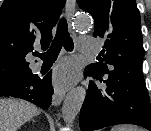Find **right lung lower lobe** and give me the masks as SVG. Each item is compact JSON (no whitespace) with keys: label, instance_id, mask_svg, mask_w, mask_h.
Masks as SVG:
<instances>
[{"label":"right lung lower lobe","instance_id":"1","mask_svg":"<svg viewBox=\"0 0 151 131\" xmlns=\"http://www.w3.org/2000/svg\"><path fill=\"white\" fill-rule=\"evenodd\" d=\"M52 95L51 72L44 78L32 74L4 89H0V96L21 98L36 104L44 110L51 105Z\"/></svg>","mask_w":151,"mask_h":131}]
</instances>
